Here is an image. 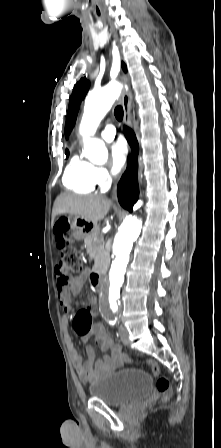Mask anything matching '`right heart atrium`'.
Here are the masks:
<instances>
[{
  "label": "right heart atrium",
  "mask_w": 221,
  "mask_h": 448,
  "mask_svg": "<svg viewBox=\"0 0 221 448\" xmlns=\"http://www.w3.org/2000/svg\"><path fill=\"white\" fill-rule=\"evenodd\" d=\"M94 178L97 185L101 186L102 188H105L110 183L111 180L109 172L104 167L94 168Z\"/></svg>",
  "instance_id": "right-heart-atrium-1"
}]
</instances>
